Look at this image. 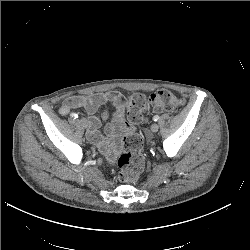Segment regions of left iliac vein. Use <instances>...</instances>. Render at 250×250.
<instances>
[{"instance_id":"4c4485c4","label":"left iliac vein","mask_w":250,"mask_h":250,"mask_svg":"<svg viewBox=\"0 0 250 250\" xmlns=\"http://www.w3.org/2000/svg\"><path fill=\"white\" fill-rule=\"evenodd\" d=\"M158 129H159L158 124L154 123V124L151 125V131H152V132H157Z\"/></svg>"}]
</instances>
